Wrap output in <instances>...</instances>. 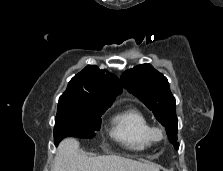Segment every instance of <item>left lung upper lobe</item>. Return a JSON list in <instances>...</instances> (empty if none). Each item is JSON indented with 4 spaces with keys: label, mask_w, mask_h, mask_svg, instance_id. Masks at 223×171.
Masks as SVG:
<instances>
[{
    "label": "left lung upper lobe",
    "mask_w": 223,
    "mask_h": 171,
    "mask_svg": "<svg viewBox=\"0 0 223 171\" xmlns=\"http://www.w3.org/2000/svg\"><path fill=\"white\" fill-rule=\"evenodd\" d=\"M123 86L154 114L165 127L169 141L178 149L175 98L168 80L150 64H141L125 71L121 76Z\"/></svg>",
    "instance_id": "1"
}]
</instances>
